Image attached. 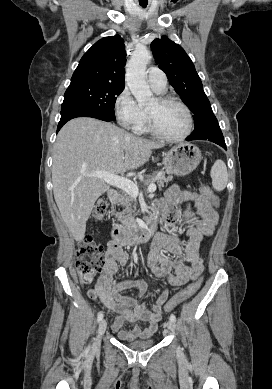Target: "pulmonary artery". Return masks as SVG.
<instances>
[{"instance_id": "e3ab8cb5", "label": "pulmonary artery", "mask_w": 272, "mask_h": 389, "mask_svg": "<svg viewBox=\"0 0 272 389\" xmlns=\"http://www.w3.org/2000/svg\"><path fill=\"white\" fill-rule=\"evenodd\" d=\"M147 81L156 93H164L167 89V77L157 67H150L147 71Z\"/></svg>"}]
</instances>
